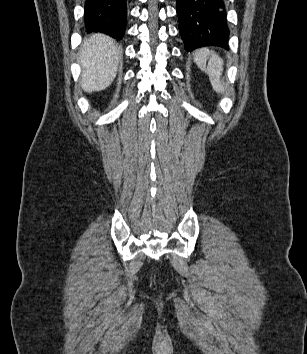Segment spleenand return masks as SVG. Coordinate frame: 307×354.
I'll use <instances>...</instances> for the list:
<instances>
[{"mask_svg":"<svg viewBox=\"0 0 307 354\" xmlns=\"http://www.w3.org/2000/svg\"><path fill=\"white\" fill-rule=\"evenodd\" d=\"M193 56L197 66L208 74L214 91L217 93L224 92L225 86L221 82L220 78L223 70V59L216 53L212 51L210 52L207 48L197 50ZM208 59V65L206 67V62Z\"/></svg>","mask_w":307,"mask_h":354,"instance_id":"obj_1","label":"spleen"}]
</instances>
